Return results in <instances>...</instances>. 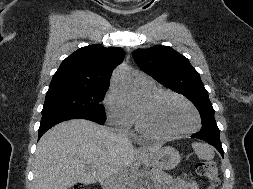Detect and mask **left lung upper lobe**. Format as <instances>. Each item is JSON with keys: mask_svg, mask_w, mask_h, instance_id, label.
Instances as JSON below:
<instances>
[{"mask_svg": "<svg viewBox=\"0 0 253 189\" xmlns=\"http://www.w3.org/2000/svg\"><path fill=\"white\" fill-rule=\"evenodd\" d=\"M133 58L145 73L196 106L202 118L201 131H219L208 92L186 57L171 47L155 46L135 50Z\"/></svg>", "mask_w": 253, "mask_h": 189, "instance_id": "1", "label": "left lung upper lobe"}]
</instances>
